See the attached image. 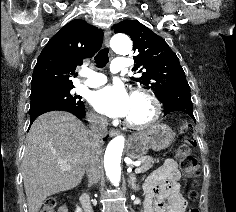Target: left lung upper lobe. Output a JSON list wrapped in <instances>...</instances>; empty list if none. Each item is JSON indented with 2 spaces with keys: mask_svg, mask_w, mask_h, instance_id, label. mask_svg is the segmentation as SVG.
<instances>
[{
  "mask_svg": "<svg viewBox=\"0 0 236 212\" xmlns=\"http://www.w3.org/2000/svg\"><path fill=\"white\" fill-rule=\"evenodd\" d=\"M115 33H125L133 41L135 65L142 77L131 79L151 88L161 100L168 90L187 83L178 57L168 44L152 30L138 21L125 20L114 28ZM144 70V72H142Z\"/></svg>",
  "mask_w": 236,
  "mask_h": 212,
  "instance_id": "obj_1",
  "label": "left lung upper lobe"
}]
</instances>
